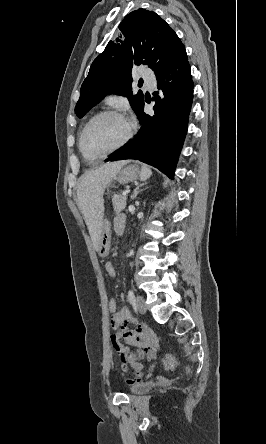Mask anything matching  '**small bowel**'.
<instances>
[{
  "label": "small bowel",
  "instance_id": "small-bowel-1",
  "mask_svg": "<svg viewBox=\"0 0 266 444\" xmlns=\"http://www.w3.org/2000/svg\"><path fill=\"white\" fill-rule=\"evenodd\" d=\"M114 227L116 234L120 235L123 233L125 227L124 216L119 215L115 218ZM105 269L110 277L116 276V270L112 263H106ZM131 324H137V328L131 329ZM110 325L114 330L110 338L111 345L120 360L124 363V370L127 371L131 368V370L137 374L135 378L129 379V384L141 383L142 374L140 372L143 366L139 360L143 356L149 360L154 358L157 344L155 333L148 330L143 322L133 317L126 306L120 307L116 314L112 316ZM122 341L137 348L136 357H132L130 350ZM127 363H129V366L126 365ZM153 368L154 365H151L148 377L151 376Z\"/></svg>",
  "mask_w": 266,
  "mask_h": 444
}]
</instances>
